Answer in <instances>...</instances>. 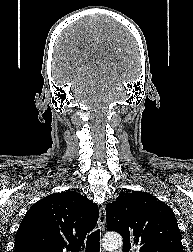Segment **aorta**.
<instances>
[{
    "label": "aorta",
    "mask_w": 193,
    "mask_h": 252,
    "mask_svg": "<svg viewBox=\"0 0 193 252\" xmlns=\"http://www.w3.org/2000/svg\"><path fill=\"white\" fill-rule=\"evenodd\" d=\"M122 245V237L119 234H107L103 238V247L106 250L113 251L120 248Z\"/></svg>",
    "instance_id": "1"
}]
</instances>
